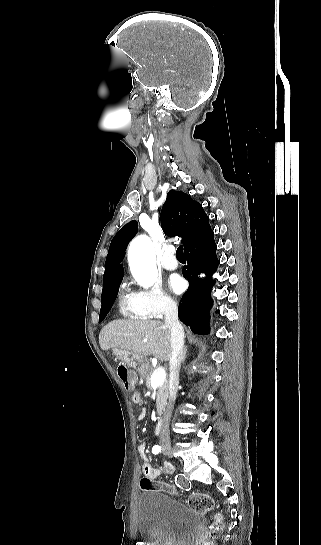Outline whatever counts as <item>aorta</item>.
<instances>
[{"mask_svg":"<svg viewBox=\"0 0 321 545\" xmlns=\"http://www.w3.org/2000/svg\"><path fill=\"white\" fill-rule=\"evenodd\" d=\"M128 261L131 273L138 284L148 288L156 280V261L150 238L136 237L129 246Z\"/></svg>","mask_w":321,"mask_h":545,"instance_id":"1","label":"aorta"}]
</instances>
